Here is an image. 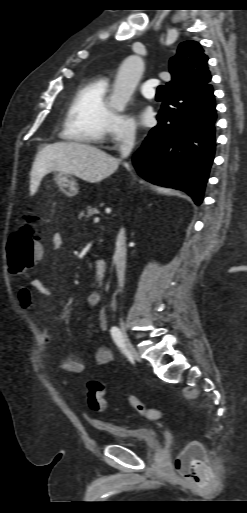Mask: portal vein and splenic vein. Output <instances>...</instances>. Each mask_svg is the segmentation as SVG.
Returning a JSON list of instances; mask_svg holds the SVG:
<instances>
[{
    "instance_id": "obj_1",
    "label": "portal vein and splenic vein",
    "mask_w": 247,
    "mask_h": 513,
    "mask_svg": "<svg viewBox=\"0 0 247 513\" xmlns=\"http://www.w3.org/2000/svg\"><path fill=\"white\" fill-rule=\"evenodd\" d=\"M94 222H99V217H95Z\"/></svg>"
}]
</instances>
